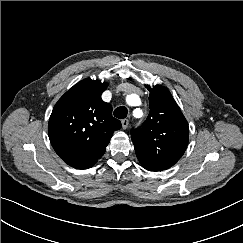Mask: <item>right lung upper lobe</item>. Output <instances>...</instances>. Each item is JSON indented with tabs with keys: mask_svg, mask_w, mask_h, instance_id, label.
<instances>
[{
	"mask_svg": "<svg viewBox=\"0 0 243 243\" xmlns=\"http://www.w3.org/2000/svg\"><path fill=\"white\" fill-rule=\"evenodd\" d=\"M106 83L90 78L69 89L51 113L48 132L55 152L71 167L87 169L104 154L121 122L101 99Z\"/></svg>",
	"mask_w": 243,
	"mask_h": 243,
	"instance_id": "obj_1",
	"label": "right lung upper lobe"
}]
</instances>
